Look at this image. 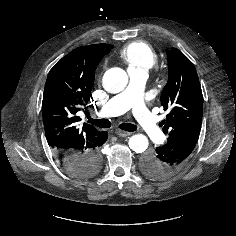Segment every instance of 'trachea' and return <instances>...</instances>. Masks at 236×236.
I'll list each match as a JSON object with an SVG mask.
<instances>
[{"mask_svg":"<svg viewBox=\"0 0 236 236\" xmlns=\"http://www.w3.org/2000/svg\"><path fill=\"white\" fill-rule=\"evenodd\" d=\"M88 122L100 128L111 127V122L107 119H93L90 116H88ZM119 128L124 131L133 132L137 129V126L130 123H122L119 125Z\"/></svg>","mask_w":236,"mask_h":236,"instance_id":"trachea-1","label":"trachea"}]
</instances>
